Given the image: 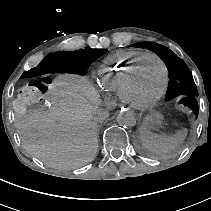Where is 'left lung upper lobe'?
Wrapping results in <instances>:
<instances>
[{"instance_id": "left-lung-upper-lobe-1", "label": "left lung upper lobe", "mask_w": 211, "mask_h": 211, "mask_svg": "<svg viewBox=\"0 0 211 211\" xmlns=\"http://www.w3.org/2000/svg\"><path fill=\"white\" fill-rule=\"evenodd\" d=\"M132 46L146 47L155 52L163 60L169 75V84L165 99L169 101L176 97H181L180 103L188 106L198 116V103L196 100L198 91L192 74L185 62L167 47L154 42L136 43Z\"/></svg>"}]
</instances>
